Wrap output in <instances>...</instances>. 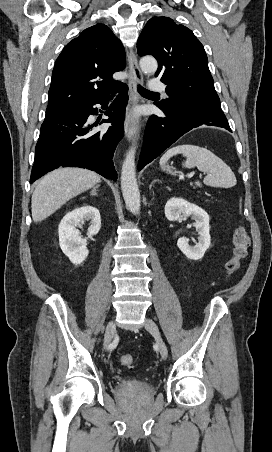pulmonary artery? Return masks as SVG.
<instances>
[{
	"instance_id": "1",
	"label": "pulmonary artery",
	"mask_w": 272,
	"mask_h": 452,
	"mask_svg": "<svg viewBox=\"0 0 272 452\" xmlns=\"http://www.w3.org/2000/svg\"><path fill=\"white\" fill-rule=\"evenodd\" d=\"M166 89V85L164 82L158 79H152L150 82V90L154 92H163Z\"/></svg>"
}]
</instances>
